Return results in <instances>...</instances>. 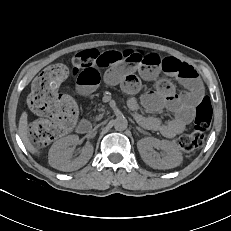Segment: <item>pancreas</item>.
Listing matches in <instances>:
<instances>
[{"label":"pancreas","instance_id":"1","mask_svg":"<svg viewBox=\"0 0 231 231\" xmlns=\"http://www.w3.org/2000/svg\"><path fill=\"white\" fill-rule=\"evenodd\" d=\"M102 111H103V109H101ZM103 117V113L102 114H99L98 116H97V119H101Z\"/></svg>","mask_w":231,"mask_h":231}]
</instances>
